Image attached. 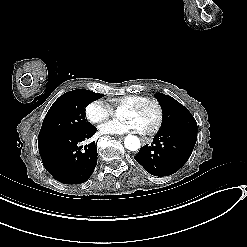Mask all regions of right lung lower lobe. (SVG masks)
<instances>
[{"label":"right lung lower lobe","instance_id":"98d812e1","mask_svg":"<svg viewBox=\"0 0 247 247\" xmlns=\"http://www.w3.org/2000/svg\"><path fill=\"white\" fill-rule=\"evenodd\" d=\"M96 132L94 126L80 132L57 133L39 138L38 147L45 169L65 184L84 183L97 165L95 142L81 146Z\"/></svg>","mask_w":247,"mask_h":247}]
</instances>
